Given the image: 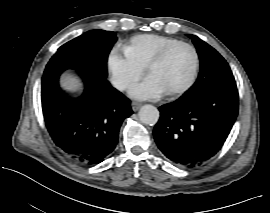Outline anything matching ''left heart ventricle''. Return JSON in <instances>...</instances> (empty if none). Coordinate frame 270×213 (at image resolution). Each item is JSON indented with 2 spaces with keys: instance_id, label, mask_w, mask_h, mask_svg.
I'll list each match as a JSON object with an SVG mask.
<instances>
[{
  "instance_id": "b2bd125f",
  "label": "left heart ventricle",
  "mask_w": 270,
  "mask_h": 213,
  "mask_svg": "<svg viewBox=\"0 0 270 213\" xmlns=\"http://www.w3.org/2000/svg\"><path fill=\"white\" fill-rule=\"evenodd\" d=\"M194 64L193 52L187 47H179L155 66L150 75L159 81L166 92L172 91L182 87L189 80Z\"/></svg>"
}]
</instances>
